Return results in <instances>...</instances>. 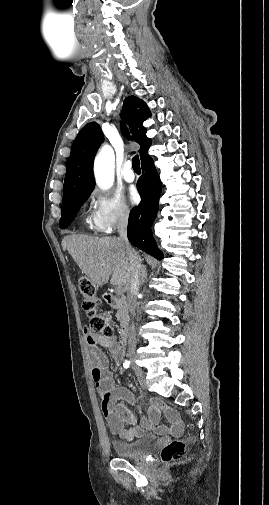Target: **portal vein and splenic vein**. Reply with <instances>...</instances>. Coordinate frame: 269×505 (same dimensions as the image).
<instances>
[{
	"label": "portal vein and splenic vein",
	"mask_w": 269,
	"mask_h": 505,
	"mask_svg": "<svg viewBox=\"0 0 269 505\" xmlns=\"http://www.w3.org/2000/svg\"><path fill=\"white\" fill-rule=\"evenodd\" d=\"M115 291H116V293L120 294V293L122 292V286L117 285V286L115 287Z\"/></svg>",
	"instance_id": "portal-vein-and-splenic-vein-1"
}]
</instances>
